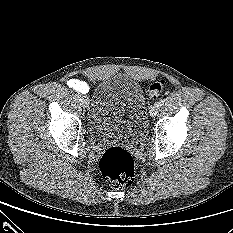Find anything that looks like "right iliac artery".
Here are the masks:
<instances>
[{
	"label": "right iliac artery",
	"instance_id": "82829eb1",
	"mask_svg": "<svg viewBox=\"0 0 233 233\" xmlns=\"http://www.w3.org/2000/svg\"><path fill=\"white\" fill-rule=\"evenodd\" d=\"M75 98L78 99V100H80L81 95L78 93V94L75 95Z\"/></svg>",
	"mask_w": 233,
	"mask_h": 233
}]
</instances>
